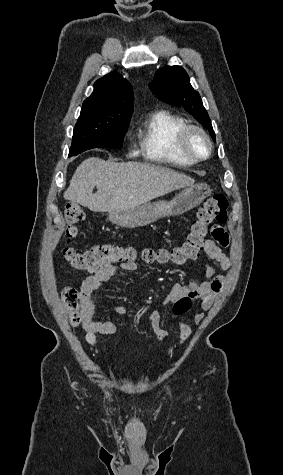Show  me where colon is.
Segmentation results:
<instances>
[{
	"mask_svg": "<svg viewBox=\"0 0 283 475\" xmlns=\"http://www.w3.org/2000/svg\"><path fill=\"white\" fill-rule=\"evenodd\" d=\"M227 197L224 194H216L199 208L197 218L192 222L189 233L185 240L171 249H160L157 251L146 249L141 256L146 262L157 261L160 263L172 262L181 265L187 261L196 260L205 248L208 230L212 224L225 223L227 221ZM67 238L73 239L79 234L78 224L81 223L85 214L80 206L75 203H67L65 208ZM63 257L70 262L75 269L80 271H94L108 264H126L133 266L137 259V253L133 248L120 247L117 245L99 244L85 252L78 251L75 247L67 245L62 252ZM66 304H71L69 321L74 326L80 325V320L76 313L84 304V299L76 297L74 290H66L63 294ZM192 298L183 297L177 305L172 306L173 314H185L191 306Z\"/></svg>",
	"mask_w": 283,
	"mask_h": 475,
	"instance_id": "1",
	"label": "colon"
}]
</instances>
